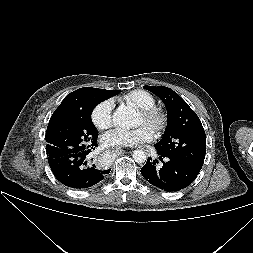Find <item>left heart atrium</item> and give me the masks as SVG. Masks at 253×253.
<instances>
[{
  "label": "left heart atrium",
  "mask_w": 253,
  "mask_h": 253,
  "mask_svg": "<svg viewBox=\"0 0 253 253\" xmlns=\"http://www.w3.org/2000/svg\"><path fill=\"white\" fill-rule=\"evenodd\" d=\"M154 132L147 125H141L135 129H114L102 137L104 145L109 147H133L153 139Z\"/></svg>",
  "instance_id": "39dd6f15"
}]
</instances>
